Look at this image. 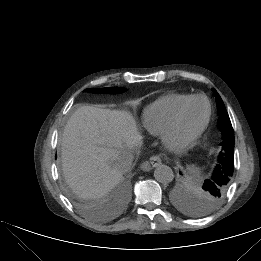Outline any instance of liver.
<instances>
[{"label": "liver", "mask_w": 261, "mask_h": 261, "mask_svg": "<svg viewBox=\"0 0 261 261\" xmlns=\"http://www.w3.org/2000/svg\"><path fill=\"white\" fill-rule=\"evenodd\" d=\"M142 136L127 111L84 105L68 120L62 135L64 177L84 199L105 196L122 179L117 159L135 152Z\"/></svg>", "instance_id": "6515ba94"}]
</instances>
